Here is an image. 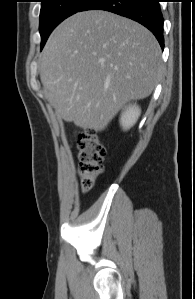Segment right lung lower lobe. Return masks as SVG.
I'll use <instances>...</instances> for the list:
<instances>
[{
    "label": "right lung lower lobe",
    "mask_w": 195,
    "mask_h": 299,
    "mask_svg": "<svg viewBox=\"0 0 195 299\" xmlns=\"http://www.w3.org/2000/svg\"><path fill=\"white\" fill-rule=\"evenodd\" d=\"M106 10L130 18L148 28L164 47L163 16L159 0H88L79 11Z\"/></svg>",
    "instance_id": "1"
}]
</instances>
